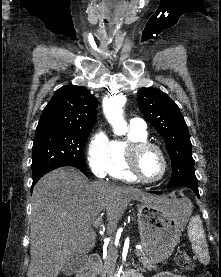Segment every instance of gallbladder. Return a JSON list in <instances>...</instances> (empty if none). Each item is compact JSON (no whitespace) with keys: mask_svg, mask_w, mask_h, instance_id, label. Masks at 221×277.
Segmentation results:
<instances>
[{"mask_svg":"<svg viewBox=\"0 0 221 277\" xmlns=\"http://www.w3.org/2000/svg\"><path fill=\"white\" fill-rule=\"evenodd\" d=\"M87 255L73 253L72 256L65 262L62 267V273L66 276L76 274L86 264Z\"/></svg>","mask_w":221,"mask_h":277,"instance_id":"gallbladder-1","label":"gallbladder"}]
</instances>
